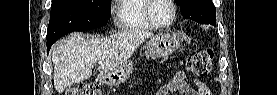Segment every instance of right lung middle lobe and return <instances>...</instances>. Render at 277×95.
I'll list each match as a JSON object with an SVG mask.
<instances>
[{"label": "right lung middle lobe", "mask_w": 277, "mask_h": 95, "mask_svg": "<svg viewBox=\"0 0 277 95\" xmlns=\"http://www.w3.org/2000/svg\"><path fill=\"white\" fill-rule=\"evenodd\" d=\"M111 0H53L47 42L74 31L101 27L110 18Z\"/></svg>", "instance_id": "obj_1"}]
</instances>
